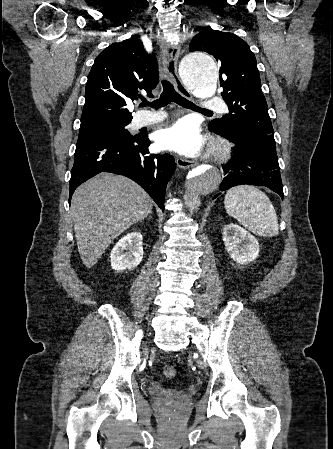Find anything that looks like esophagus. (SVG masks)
Segmentation results:
<instances>
[{"mask_svg": "<svg viewBox=\"0 0 333 449\" xmlns=\"http://www.w3.org/2000/svg\"><path fill=\"white\" fill-rule=\"evenodd\" d=\"M180 48L177 45H165L163 49V64L164 70L174 84L176 90L186 98H190V92L181 82L178 73H177V62L179 58ZM177 166L180 169H186L195 164V161L187 160L184 158H177L176 160Z\"/></svg>", "mask_w": 333, "mask_h": 449, "instance_id": "esophagus-1", "label": "esophagus"}]
</instances>
